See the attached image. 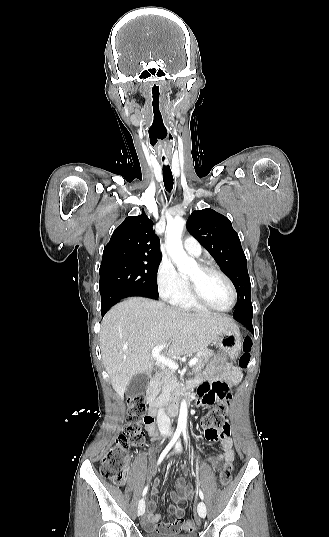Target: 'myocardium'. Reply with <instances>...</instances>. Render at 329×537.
Segmentation results:
<instances>
[{"label":"myocardium","instance_id":"f54148a6","mask_svg":"<svg viewBox=\"0 0 329 537\" xmlns=\"http://www.w3.org/2000/svg\"><path fill=\"white\" fill-rule=\"evenodd\" d=\"M199 269L202 272L206 273H215L219 275L221 278L225 280V282L228 284L231 293H232V301L229 307L225 309L216 308L212 305H210L208 302H206L202 296L198 293L194 283L188 279V290L191 298L202 308L206 310L216 311V312H230L237 304L238 295L237 290L235 288V285L233 284L232 280L220 269L216 268L215 266L209 265V264H198Z\"/></svg>","mask_w":329,"mask_h":537}]
</instances>
